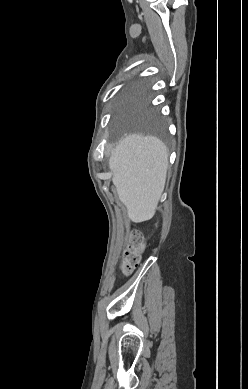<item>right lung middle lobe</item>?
<instances>
[{
    "instance_id": "dd1d6c3e",
    "label": "right lung middle lobe",
    "mask_w": 248,
    "mask_h": 389,
    "mask_svg": "<svg viewBox=\"0 0 248 389\" xmlns=\"http://www.w3.org/2000/svg\"><path fill=\"white\" fill-rule=\"evenodd\" d=\"M129 112L132 126L135 129L165 137L157 114L151 111L146 103H136L129 109Z\"/></svg>"
}]
</instances>
